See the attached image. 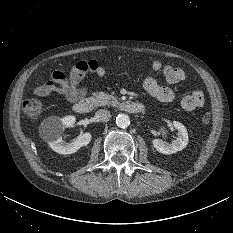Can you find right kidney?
<instances>
[{
	"label": "right kidney",
	"instance_id": "1",
	"mask_svg": "<svg viewBox=\"0 0 233 233\" xmlns=\"http://www.w3.org/2000/svg\"><path fill=\"white\" fill-rule=\"evenodd\" d=\"M75 120L74 116H66L63 118L51 116L41 123L43 137L53 151L65 155L72 154L90 143L92 136L88 132L79 135L71 143H65L62 140L64 129L72 126Z\"/></svg>",
	"mask_w": 233,
	"mask_h": 233
}]
</instances>
